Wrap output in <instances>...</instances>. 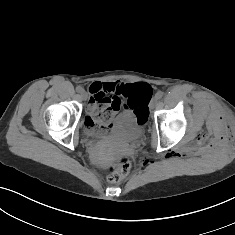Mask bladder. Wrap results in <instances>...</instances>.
<instances>
[{
    "mask_svg": "<svg viewBox=\"0 0 235 235\" xmlns=\"http://www.w3.org/2000/svg\"><path fill=\"white\" fill-rule=\"evenodd\" d=\"M144 130L143 123H141L136 116L123 114L112 120L110 135L124 141H135L144 135ZM87 134L93 135L89 130H87Z\"/></svg>",
    "mask_w": 235,
    "mask_h": 235,
    "instance_id": "31cf9c89",
    "label": "bladder"
}]
</instances>
